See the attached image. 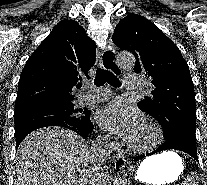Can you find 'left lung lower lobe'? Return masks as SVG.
Instances as JSON below:
<instances>
[{"label": "left lung lower lobe", "mask_w": 207, "mask_h": 185, "mask_svg": "<svg viewBox=\"0 0 207 185\" xmlns=\"http://www.w3.org/2000/svg\"><path fill=\"white\" fill-rule=\"evenodd\" d=\"M169 149H176V150L183 151L191 155L193 158H195L198 161L197 148L191 146L190 143L181 136H175L172 139L165 140V142L152 153H148L146 155H138L134 159L135 161H138L144 158L145 156H149L151 154H155L160 151L169 150Z\"/></svg>", "instance_id": "1"}]
</instances>
